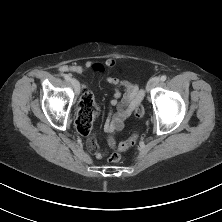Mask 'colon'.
<instances>
[{"mask_svg": "<svg viewBox=\"0 0 222 222\" xmlns=\"http://www.w3.org/2000/svg\"><path fill=\"white\" fill-rule=\"evenodd\" d=\"M98 115V106L95 102L94 96L91 91L84 90L80 102H79V111L76 118V128L79 133L87 135L89 129L93 123V120ZM135 115L138 118H141L144 115V108L142 105H139L135 110ZM138 140V134L133 133L130 138L125 141L116 144L113 139H109V144L111 147L116 149L109 156V162L116 163L121 159V151H125L128 148L134 146Z\"/></svg>", "mask_w": 222, "mask_h": 222, "instance_id": "colon-1", "label": "colon"}]
</instances>
